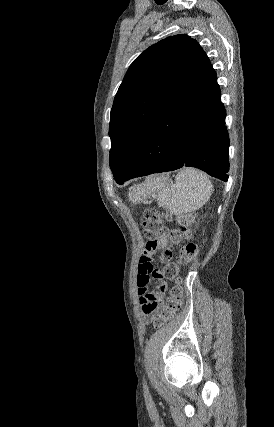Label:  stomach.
<instances>
[{
	"mask_svg": "<svg viewBox=\"0 0 274 427\" xmlns=\"http://www.w3.org/2000/svg\"><path fill=\"white\" fill-rule=\"evenodd\" d=\"M160 180H163V182H166V184H169L170 180H168V178H160ZM140 192H142V194H144V196H142V200H144V198H146V196H148L150 190H144V188H141ZM141 202V200H140Z\"/></svg>",
	"mask_w": 274,
	"mask_h": 427,
	"instance_id": "obj_1",
	"label": "stomach"
}]
</instances>
